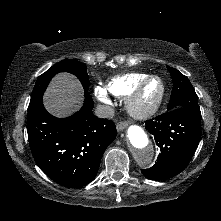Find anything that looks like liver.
<instances>
[{"label": "liver", "mask_w": 221, "mask_h": 221, "mask_svg": "<svg viewBox=\"0 0 221 221\" xmlns=\"http://www.w3.org/2000/svg\"><path fill=\"white\" fill-rule=\"evenodd\" d=\"M84 100L80 82L71 74L62 72L50 82L44 97V105L56 117H66L77 111Z\"/></svg>", "instance_id": "obj_1"}]
</instances>
